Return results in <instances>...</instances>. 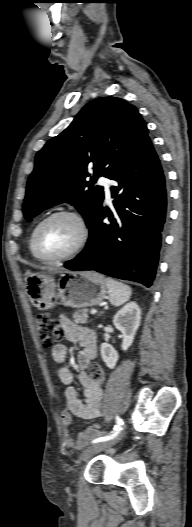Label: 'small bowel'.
Here are the masks:
<instances>
[{"label":"small bowel","instance_id":"1","mask_svg":"<svg viewBox=\"0 0 192 527\" xmlns=\"http://www.w3.org/2000/svg\"><path fill=\"white\" fill-rule=\"evenodd\" d=\"M60 323L68 340L77 342L82 346L81 351L77 355V363L81 370L78 379L83 387L82 393L73 386L74 374L64 366L68 353L67 347L63 344H57L52 348V358L59 366L57 370L58 378L63 384L68 386L64 392L66 406L61 412V421L65 446L69 451H73L84 448L88 439L98 434L99 425L96 424L87 428L74 441L70 430L72 417L76 416L85 420L99 418L102 415L101 399L103 390L99 384L92 381L85 371L97 354L95 332L73 323L65 316L60 317Z\"/></svg>","mask_w":192,"mask_h":527}]
</instances>
